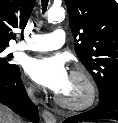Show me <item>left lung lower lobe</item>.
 <instances>
[{
  "label": "left lung lower lobe",
  "instance_id": "obj_1",
  "mask_svg": "<svg viewBox=\"0 0 118 123\" xmlns=\"http://www.w3.org/2000/svg\"><path fill=\"white\" fill-rule=\"evenodd\" d=\"M95 119L118 120V86H115L108 94L100 99V103L94 109L64 120L63 123H77Z\"/></svg>",
  "mask_w": 118,
  "mask_h": 123
}]
</instances>
